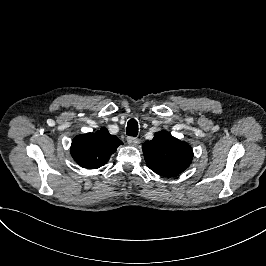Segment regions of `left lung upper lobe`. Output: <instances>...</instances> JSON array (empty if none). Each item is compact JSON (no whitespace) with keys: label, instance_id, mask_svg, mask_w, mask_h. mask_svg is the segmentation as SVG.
<instances>
[{"label":"left lung upper lobe","instance_id":"5c2ea615","mask_svg":"<svg viewBox=\"0 0 266 266\" xmlns=\"http://www.w3.org/2000/svg\"><path fill=\"white\" fill-rule=\"evenodd\" d=\"M146 165L155 173L172 177L182 173L191 163L193 150L168 132L159 131L142 145Z\"/></svg>","mask_w":266,"mask_h":266}]
</instances>
